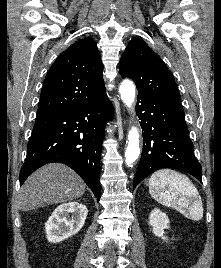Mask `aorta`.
<instances>
[{"label": "aorta", "instance_id": "obj_1", "mask_svg": "<svg viewBox=\"0 0 221 268\" xmlns=\"http://www.w3.org/2000/svg\"><path fill=\"white\" fill-rule=\"evenodd\" d=\"M119 92L124 104L133 110L135 100V85L130 80H124L119 86ZM140 134L138 128L132 126L128 132V145L125 151V161L128 166H131L139 157L140 154Z\"/></svg>", "mask_w": 221, "mask_h": 268}]
</instances>
